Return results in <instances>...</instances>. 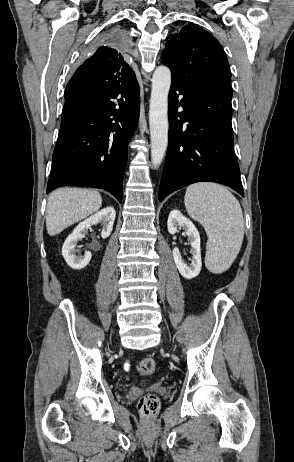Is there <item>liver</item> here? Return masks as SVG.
<instances>
[{
    "label": "liver",
    "instance_id": "liver-1",
    "mask_svg": "<svg viewBox=\"0 0 294 462\" xmlns=\"http://www.w3.org/2000/svg\"><path fill=\"white\" fill-rule=\"evenodd\" d=\"M102 205V197L96 190L80 188H60L48 198L46 228L50 236H55L70 225L79 222Z\"/></svg>",
    "mask_w": 294,
    "mask_h": 462
}]
</instances>
